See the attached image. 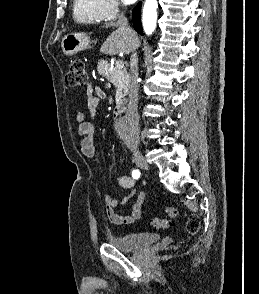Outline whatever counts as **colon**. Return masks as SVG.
Masks as SVG:
<instances>
[{
    "label": "colon",
    "mask_w": 259,
    "mask_h": 294,
    "mask_svg": "<svg viewBox=\"0 0 259 294\" xmlns=\"http://www.w3.org/2000/svg\"><path fill=\"white\" fill-rule=\"evenodd\" d=\"M65 82L69 87H81L87 83V73L84 63L81 60H73L70 62L68 71L65 75ZM167 216L174 218L177 215L175 207H166L164 209ZM154 228L167 229L171 226V222L161 218H154L151 221ZM200 222L196 216H191L187 222L188 232L191 234L199 230Z\"/></svg>",
    "instance_id": "1"
}]
</instances>
